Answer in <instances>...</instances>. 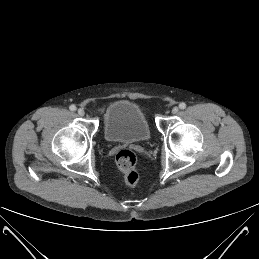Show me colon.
<instances>
[{"instance_id":"1","label":"colon","mask_w":259,"mask_h":259,"mask_svg":"<svg viewBox=\"0 0 259 259\" xmlns=\"http://www.w3.org/2000/svg\"><path fill=\"white\" fill-rule=\"evenodd\" d=\"M136 163L137 156L129 149H122L116 155V164L123 173L124 180L129 186H136L139 183Z\"/></svg>"}]
</instances>
